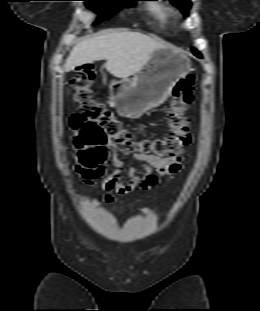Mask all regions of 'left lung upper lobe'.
Returning a JSON list of instances; mask_svg holds the SVG:
<instances>
[{"instance_id":"left-lung-upper-lobe-1","label":"left lung upper lobe","mask_w":260,"mask_h":311,"mask_svg":"<svg viewBox=\"0 0 260 311\" xmlns=\"http://www.w3.org/2000/svg\"><path fill=\"white\" fill-rule=\"evenodd\" d=\"M171 3L180 8L184 15H188V9L191 7L189 0H170ZM193 53L201 55L196 49H193Z\"/></svg>"}]
</instances>
